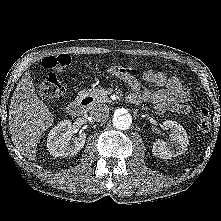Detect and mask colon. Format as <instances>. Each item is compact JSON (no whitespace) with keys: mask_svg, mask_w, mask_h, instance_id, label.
I'll return each mask as SVG.
<instances>
[{"mask_svg":"<svg viewBox=\"0 0 221 221\" xmlns=\"http://www.w3.org/2000/svg\"><path fill=\"white\" fill-rule=\"evenodd\" d=\"M71 64L69 55L61 54L58 56H47L42 61V66L49 70L38 79L37 88L39 95L47 100H59L65 94L64 86L58 81L53 72L61 73ZM155 73L150 71V74ZM211 114L207 108L200 109L198 113V128L201 132L207 133L211 130Z\"/></svg>","mask_w":221,"mask_h":221,"instance_id":"1","label":"colon"}]
</instances>
